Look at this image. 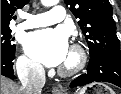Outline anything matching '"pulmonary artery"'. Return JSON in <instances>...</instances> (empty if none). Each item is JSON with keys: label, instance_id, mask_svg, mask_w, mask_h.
I'll list each match as a JSON object with an SVG mask.
<instances>
[{"label": "pulmonary artery", "instance_id": "obj_1", "mask_svg": "<svg viewBox=\"0 0 121 94\" xmlns=\"http://www.w3.org/2000/svg\"><path fill=\"white\" fill-rule=\"evenodd\" d=\"M21 17L24 21L16 26L18 30L43 27L61 22L66 17V10L63 6L57 5L49 12L39 14L23 13Z\"/></svg>", "mask_w": 121, "mask_h": 94}]
</instances>
